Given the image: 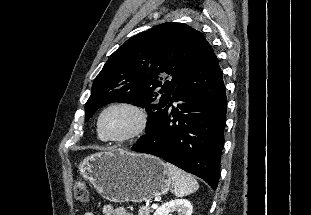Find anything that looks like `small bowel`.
Here are the masks:
<instances>
[{
    "label": "small bowel",
    "instance_id": "obj_1",
    "mask_svg": "<svg viewBox=\"0 0 311 215\" xmlns=\"http://www.w3.org/2000/svg\"><path fill=\"white\" fill-rule=\"evenodd\" d=\"M83 215H95L92 212H86ZM101 215H133L126 211L124 208H115L110 204H106L102 207Z\"/></svg>",
    "mask_w": 311,
    "mask_h": 215
}]
</instances>
